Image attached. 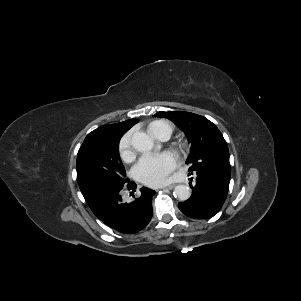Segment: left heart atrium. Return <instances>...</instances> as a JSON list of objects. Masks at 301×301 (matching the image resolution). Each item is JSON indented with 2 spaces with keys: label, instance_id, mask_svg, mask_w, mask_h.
<instances>
[{
  "label": "left heart atrium",
  "instance_id": "left-heart-atrium-1",
  "mask_svg": "<svg viewBox=\"0 0 301 301\" xmlns=\"http://www.w3.org/2000/svg\"><path fill=\"white\" fill-rule=\"evenodd\" d=\"M178 158L172 152L157 155H144L133 169L135 178L148 186L164 184L177 168Z\"/></svg>",
  "mask_w": 301,
  "mask_h": 301
}]
</instances>
